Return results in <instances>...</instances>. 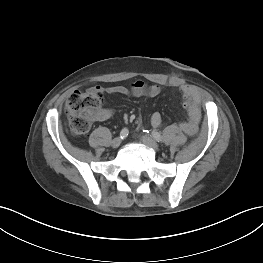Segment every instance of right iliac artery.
I'll return each instance as SVG.
<instances>
[{
	"label": "right iliac artery",
	"mask_w": 263,
	"mask_h": 263,
	"mask_svg": "<svg viewBox=\"0 0 263 263\" xmlns=\"http://www.w3.org/2000/svg\"><path fill=\"white\" fill-rule=\"evenodd\" d=\"M128 134H129L128 129H127V128H123V129L121 130V132H120V137H121V139L126 138V137L128 136Z\"/></svg>",
	"instance_id": "right-iliac-artery-1"
}]
</instances>
